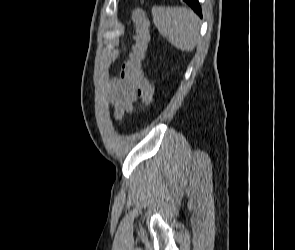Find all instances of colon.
<instances>
[{"instance_id": "5ec220e1", "label": "colon", "mask_w": 295, "mask_h": 250, "mask_svg": "<svg viewBox=\"0 0 295 250\" xmlns=\"http://www.w3.org/2000/svg\"><path fill=\"white\" fill-rule=\"evenodd\" d=\"M134 29L129 57L124 62L121 77L135 88L138 96L149 107L154 99V89L142 70L148 44L150 41V21L141 10L132 15Z\"/></svg>"}]
</instances>
